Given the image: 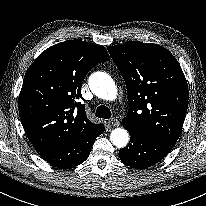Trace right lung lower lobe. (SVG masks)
I'll return each instance as SVG.
<instances>
[{"mask_svg": "<svg viewBox=\"0 0 206 206\" xmlns=\"http://www.w3.org/2000/svg\"><path fill=\"white\" fill-rule=\"evenodd\" d=\"M103 124L78 140L64 147L40 153L41 157L51 165L68 169L83 163L89 156L95 139L104 132Z\"/></svg>", "mask_w": 206, "mask_h": 206, "instance_id": "right-lung-lower-lobe-1", "label": "right lung lower lobe"}]
</instances>
